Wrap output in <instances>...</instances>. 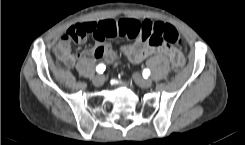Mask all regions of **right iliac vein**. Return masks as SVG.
Listing matches in <instances>:
<instances>
[{
	"label": "right iliac vein",
	"instance_id": "right-iliac-vein-1",
	"mask_svg": "<svg viewBox=\"0 0 245 145\" xmlns=\"http://www.w3.org/2000/svg\"><path fill=\"white\" fill-rule=\"evenodd\" d=\"M93 84L95 86H102L103 82H104V79H103V76L102 75H97L93 78L92 80Z\"/></svg>",
	"mask_w": 245,
	"mask_h": 145
}]
</instances>
